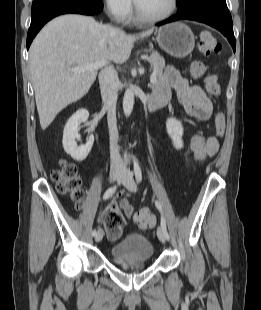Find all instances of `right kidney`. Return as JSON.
<instances>
[{"mask_svg":"<svg viewBox=\"0 0 261 310\" xmlns=\"http://www.w3.org/2000/svg\"><path fill=\"white\" fill-rule=\"evenodd\" d=\"M89 112L86 109H79L67 121L63 131V148L76 161H83L88 156L94 143V136L90 135L85 145L77 146L76 139L79 138V126L87 122Z\"/></svg>","mask_w":261,"mask_h":310,"instance_id":"obj_1","label":"right kidney"}]
</instances>
